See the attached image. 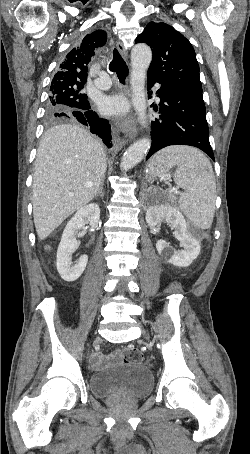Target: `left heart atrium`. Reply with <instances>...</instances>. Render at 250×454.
I'll return each mask as SVG.
<instances>
[{
	"label": "left heart atrium",
	"instance_id": "1",
	"mask_svg": "<svg viewBox=\"0 0 250 454\" xmlns=\"http://www.w3.org/2000/svg\"><path fill=\"white\" fill-rule=\"evenodd\" d=\"M126 108V102L121 96H104L99 101V110L105 116L121 114Z\"/></svg>",
	"mask_w": 250,
	"mask_h": 454
}]
</instances>
